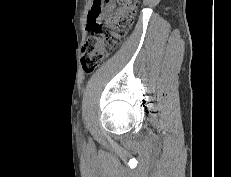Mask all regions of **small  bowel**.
Instances as JSON below:
<instances>
[{"label":"small bowel","mask_w":231,"mask_h":177,"mask_svg":"<svg viewBox=\"0 0 231 177\" xmlns=\"http://www.w3.org/2000/svg\"><path fill=\"white\" fill-rule=\"evenodd\" d=\"M96 1H97V0H94L92 9H93V7L95 6ZM112 1H113V0H109L108 2H106V3H110V5H109L107 8H105V9L103 8V3H104V2H101V3H100V14H99V16H98V21H100L101 19H103L107 13L111 12V11L114 9L115 5L113 4ZM92 9H91V11H92ZM103 9H104V10H103ZM91 11H90V13H89V15H88V19H89V16H90V14H91Z\"/></svg>","instance_id":"c3829d8e"}]
</instances>
